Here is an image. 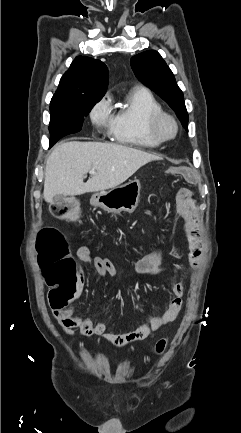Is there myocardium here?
Wrapping results in <instances>:
<instances>
[{"label": "myocardium", "mask_w": 241, "mask_h": 433, "mask_svg": "<svg viewBox=\"0 0 241 433\" xmlns=\"http://www.w3.org/2000/svg\"><path fill=\"white\" fill-rule=\"evenodd\" d=\"M165 122H169L173 127V132L169 136L164 135L162 132V125ZM148 131L155 140H157L160 143H165L176 138L179 131V125L174 116H172L167 112L160 111L152 115L151 118L149 119Z\"/></svg>", "instance_id": "obj_1"}]
</instances>
